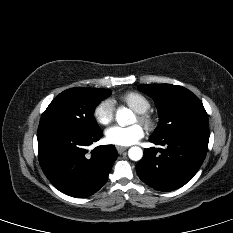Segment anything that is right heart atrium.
Returning <instances> with one entry per match:
<instances>
[{
	"mask_svg": "<svg viewBox=\"0 0 233 233\" xmlns=\"http://www.w3.org/2000/svg\"><path fill=\"white\" fill-rule=\"evenodd\" d=\"M114 102L107 98L97 103L93 109V117L100 125H108L114 118Z\"/></svg>",
	"mask_w": 233,
	"mask_h": 233,
	"instance_id": "d8ad5b80",
	"label": "right heart atrium"
}]
</instances>
